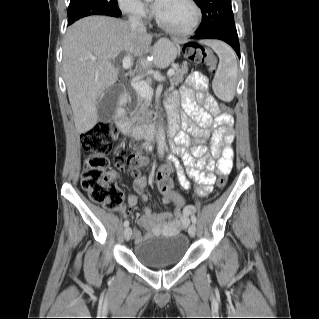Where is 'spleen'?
Here are the masks:
<instances>
[{
    "mask_svg": "<svg viewBox=\"0 0 319 319\" xmlns=\"http://www.w3.org/2000/svg\"><path fill=\"white\" fill-rule=\"evenodd\" d=\"M219 57V64L212 82L215 95L224 102L233 100L237 85V61L234 51L225 43L216 40L207 41Z\"/></svg>",
    "mask_w": 319,
    "mask_h": 319,
    "instance_id": "3e777b00",
    "label": "spleen"
}]
</instances>
